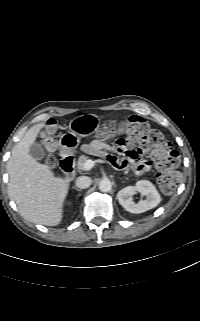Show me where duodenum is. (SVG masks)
I'll use <instances>...</instances> for the list:
<instances>
[{
    "mask_svg": "<svg viewBox=\"0 0 200 321\" xmlns=\"http://www.w3.org/2000/svg\"><path fill=\"white\" fill-rule=\"evenodd\" d=\"M74 165H75L74 157L68 153L63 154L60 161V167L62 169V172L67 178H71L73 176Z\"/></svg>",
    "mask_w": 200,
    "mask_h": 321,
    "instance_id": "410a0bca",
    "label": "duodenum"
}]
</instances>
